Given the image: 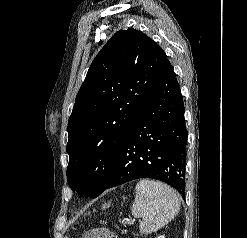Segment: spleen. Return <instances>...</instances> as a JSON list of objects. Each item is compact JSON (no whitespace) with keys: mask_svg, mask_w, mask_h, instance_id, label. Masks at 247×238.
<instances>
[{"mask_svg":"<svg viewBox=\"0 0 247 238\" xmlns=\"http://www.w3.org/2000/svg\"><path fill=\"white\" fill-rule=\"evenodd\" d=\"M180 201L176 192L165 183L142 179L136 185L132 215L142 218L139 229L143 234L158 231L179 212Z\"/></svg>","mask_w":247,"mask_h":238,"instance_id":"3e777b00","label":"spleen"}]
</instances>
